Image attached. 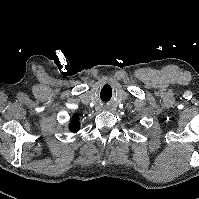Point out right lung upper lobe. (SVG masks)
I'll list each match as a JSON object with an SVG mask.
<instances>
[{
  "label": "right lung upper lobe",
  "instance_id": "right-lung-upper-lobe-1",
  "mask_svg": "<svg viewBox=\"0 0 199 199\" xmlns=\"http://www.w3.org/2000/svg\"><path fill=\"white\" fill-rule=\"evenodd\" d=\"M69 128L74 133L80 129L79 116L77 114L73 115Z\"/></svg>",
  "mask_w": 199,
  "mask_h": 199
}]
</instances>
